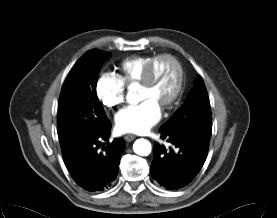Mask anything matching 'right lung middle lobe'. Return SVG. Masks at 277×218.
I'll return each mask as SVG.
<instances>
[{"label": "right lung middle lobe", "instance_id": "dd1d6c3e", "mask_svg": "<svg viewBox=\"0 0 277 218\" xmlns=\"http://www.w3.org/2000/svg\"><path fill=\"white\" fill-rule=\"evenodd\" d=\"M109 54L86 52L69 72L59 98L57 132L62 154L102 130L108 118L98 100L96 85Z\"/></svg>", "mask_w": 277, "mask_h": 218}]
</instances>
